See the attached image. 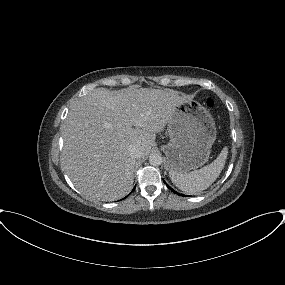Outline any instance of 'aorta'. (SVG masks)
I'll use <instances>...</instances> for the list:
<instances>
[{"label": "aorta", "instance_id": "762f6f07", "mask_svg": "<svg viewBox=\"0 0 285 285\" xmlns=\"http://www.w3.org/2000/svg\"><path fill=\"white\" fill-rule=\"evenodd\" d=\"M162 157L161 155L157 154V153H154V154H151L150 157H149V163L152 165V166H159L162 164Z\"/></svg>", "mask_w": 285, "mask_h": 285}]
</instances>
